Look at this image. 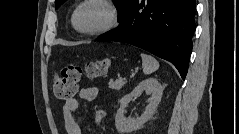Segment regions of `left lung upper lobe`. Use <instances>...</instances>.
Returning a JSON list of instances; mask_svg holds the SVG:
<instances>
[{
	"instance_id": "obj_1",
	"label": "left lung upper lobe",
	"mask_w": 239,
	"mask_h": 134,
	"mask_svg": "<svg viewBox=\"0 0 239 134\" xmlns=\"http://www.w3.org/2000/svg\"><path fill=\"white\" fill-rule=\"evenodd\" d=\"M66 0H55L56 9L64 3ZM115 6L119 12V18L122 19L124 15L127 13L128 9L130 8L131 4L134 0H113Z\"/></svg>"
}]
</instances>
